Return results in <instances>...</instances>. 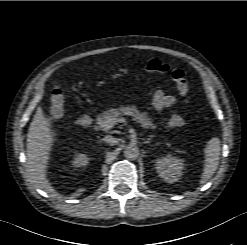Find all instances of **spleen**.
<instances>
[{
  "mask_svg": "<svg viewBox=\"0 0 247 245\" xmlns=\"http://www.w3.org/2000/svg\"><path fill=\"white\" fill-rule=\"evenodd\" d=\"M220 140L212 138L204 149L205 160L200 184H205L215 173L219 165Z\"/></svg>",
  "mask_w": 247,
  "mask_h": 245,
  "instance_id": "spleen-1",
  "label": "spleen"
}]
</instances>
